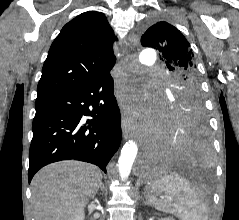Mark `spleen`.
<instances>
[{"instance_id":"spleen-1","label":"spleen","mask_w":239,"mask_h":220,"mask_svg":"<svg viewBox=\"0 0 239 220\" xmlns=\"http://www.w3.org/2000/svg\"><path fill=\"white\" fill-rule=\"evenodd\" d=\"M150 188L159 189L174 199V203L148 194L151 205L157 210L174 214L180 220H208V207L190 183L177 174H167L149 183Z\"/></svg>"}]
</instances>
